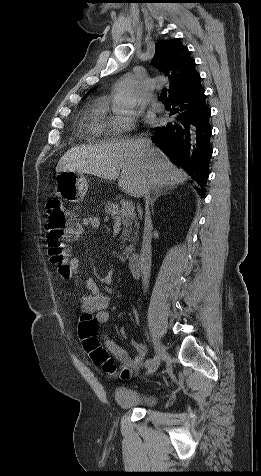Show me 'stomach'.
I'll return each instance as SVG.
<instances>
[{
    "mask_svg": "<svg viewBox=\"0 0 261 476\" xmlns=\"http://www.w3.org/2000/svg\"><path fill=\"white\" fill-rule=\"evenodd\" d=\"M56 184L62 197L71 202L82 200L88 190V182L83 173L76 171L58 173Z\"/></svg>",
    "mask_w": 261,
    "mask_h": 476,
    "instance_id": "1",
    "label": "stomach"
}]
</instances>
